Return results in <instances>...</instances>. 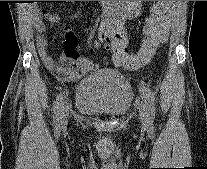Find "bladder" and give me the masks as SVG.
Listing matches in <instances>:
<instances>
[{"instance_id": "bladder-1", "label": "bladder", "mask_w": 207, "mask_h": 169, "mask_svg": "<svg viewBox=\"0 0 207 169\" xmlns=\"http://www.w3.org/2000/svg\"><path fill=\"white\" fill-rule=\"evenodd\" d=\"M133 100V89L118 73L103 70L80 81L75 106L81 113L117 117L124 114Z\"/></svg>"}]
</instances>
